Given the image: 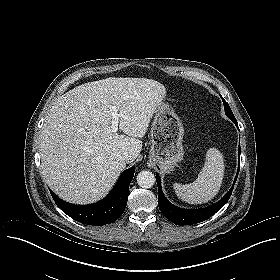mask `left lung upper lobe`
<instances>
[{
	"mask_svg": "<svg viewBox=\"0 0 280 280\" xmlns=\"http://www.w3.org/2000/svg\"><path fill=\"white\" fill-rule=\"evenodd\" d=\"M223 104H224V109H225V113L226 115L233 121V122H237L233 112L231 111V108L229 107V104L223 99V97L221 96Z\"/></svg>",
	"mask_w": 280,
	"mask_h": 280,
	"instance_id": "left-lung-upper-lobe-1",
	"label": "left lung upper lobe"
}]
</instances>
